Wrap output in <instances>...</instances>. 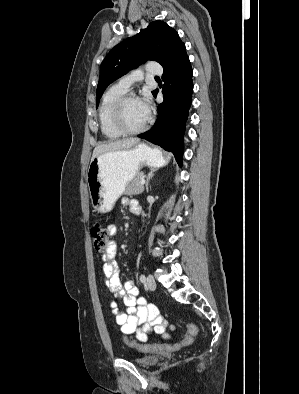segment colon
I'll return each instance as SVG.
<instances>
[{
  "label": "colon",
  "mask_w": 299,
  "mask_h": 394,
  "mask_svg": "<svg viewBox=\"0 0 299 394\" xmlns=\"http://www.w3.org/2000/svg\"><path fill=\"white\" fill-rule=\"evenodd\" d=\"M91 238L93 241V245L96 251L102 252L106 250L110 244V234L108 228L101 222H95L90 229ZM198 330L194 325H188V333L180 343L181 346H188L193 343L194 338L197 334ZM132 345L137 346L140 350L148 351L160 349L161 347L158 345H140L136 343H131ZM179 345L167 346L168 348H175Z\"/></svg>",
  "instance_id": "obj_1"
}]
</instances>
